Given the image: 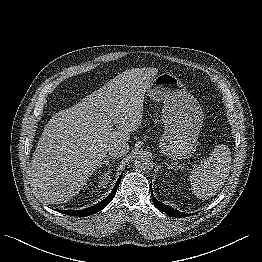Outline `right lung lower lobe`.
Segmentation results:
<instances>
[{
	"label": "right lung lower lobe",
	"instance_id": "1",
	"mask_svg": "<svg viewBox=\"0 0 262 262\" xmlns=\"http://www.w3.org/2000/svg\"><path fill=\"white\" fill-rule=\"evenodd\" d=\"M121 177H122V175L119 177V179H118L115 187L113 188L112 192L104 200H102L98 204H96L92 207L83 209V210H77V211H75V210H57V211L60 212V213L66 214V215L81 216V217L89 216V215H92V214L99 212L104 207H106L111 202V200L114 198L116 191H117V188L119 186Z\"/></svg>",
	"mask_w": 262,
	"mask_h": 262
}]
</instances>
